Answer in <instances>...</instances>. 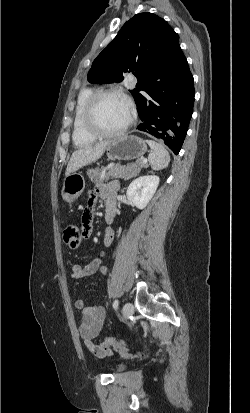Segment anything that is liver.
I'll return each instance as SVG.
<instances>
[{
	"label": "liver",
	"mask_w": 250,
	"mask_h": 413,
	"mask_svg": "<svg viewBox=\"0 0 250 413\" xmlns=\"http://www.w3.org/2000/svg\"><path fill=\"white\" fill-rule=\"evenodd\" d=\"M108 141H102L95 145H86L72 153L66 168V176L76 172L83 166L95 162L104 154Z\"/></svg>",
	"instance_id": "obj_1"
}]
</instances>
